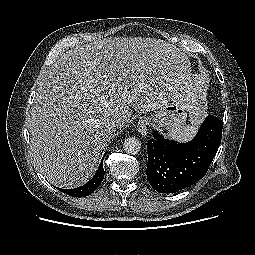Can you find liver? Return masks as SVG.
<instances>
[{"instance_id":"liver-1","label":"liver","mask_w":255,"mask_h":255,"mask_svg":"<svg viewBox=\"0 0 255 255\" xmlns=\"http://www.w3.org/2000/svg\"><path fill=\"white\" fill-rule=\"evenodd\" d=\"M203 82L175 45L142 37L104 38L76 46L42 78L29 117L30 149L53 185L75 188L94 174L100 155L132 111L148 113L180 99L198 116Z\"/></svg>"}]
</instances>
